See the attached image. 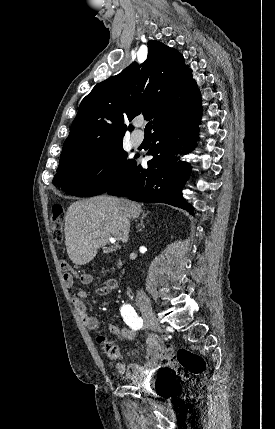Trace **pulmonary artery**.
<instances>
[{
    "label": "pulmonary artery",
    "mask_w": 275,
    "mask_h": 429,
    "mask_svg": "<svg viewBox=\"0 0 275 429\" xmlns=\"http://www.w3.org/2000/svg\"><path fill=\"white\" fill-rule=\"evenodd\" d=\"M131 139H132L133 144L138 146V145L142 144V142L144 141V135L140 131H134L132 133Z\"/></svg>",
    "instance_id": "pulmonary-artery-1"
}]
</instances>
